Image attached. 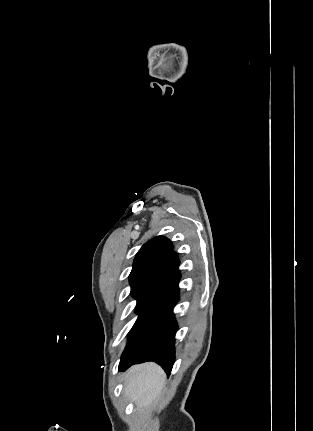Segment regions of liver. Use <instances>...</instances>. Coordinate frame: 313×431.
<instances>
[{
	"label": "liver",
	"instance_id": "6515ba94",
	"mask_svg": "<svg viewBox=\"0 0 313 431\" xmlns=\"http://www.w3.org/2000/svg\"><path fill=\"white\" fill-rule=\"evenodd\" d=\"M165 379L164 371L155 363L136 365L125 377L124 392L138 407H145L157 398Z\"/></svg>",
	"mask_w": 313,
	"mask_h": 431
}]
</instances>
